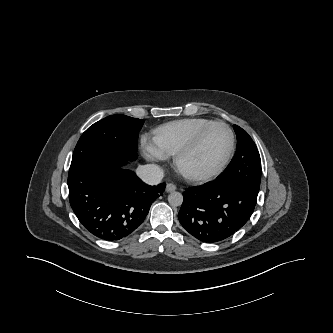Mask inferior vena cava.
Listing matches in <instances>:
<instances>
[{
	"label": "inferior vena cava",
	"mask_w": 333,
	"mask_h": 333,
	"mask_svg": "<svg viewBox=\"0 0 333 333\" xmlns=\"http://www.w3.org/2000/svg\"><path fill=\"white\" fill-rule=\"evenodd\" d=\"M137 175L146 184L157 185L163 179L164 171L156 164H147L138 167Z\"/></svg>",
	"instance_id": "602c4592"
}]
</instances>
